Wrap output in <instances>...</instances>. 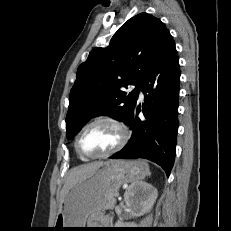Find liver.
I'll return each mask as SVG.
<instances>
[{"mask_svg":"<svg viewBox=\"0 0 231 231\" xmlns=\"http://www.w3.org/2000/svg\"><path fill=\"white\" fill-rule=\"evenodd\" d=\"M106 162L98 161V162H92L90 164H83L81 166H78L76 168H73L65 181V184L60 192V204L59 208L61 209L62 202L67 195L68 191L76 185L81 180L90 177L92 174L96 172L100 167L104 166Z\"/></svg>","mask_w":231,"mask_h":231,"instance_id":"6515ba94","label":"liver"}]
</instances>
